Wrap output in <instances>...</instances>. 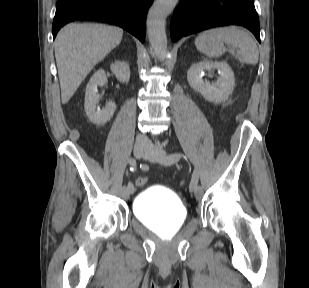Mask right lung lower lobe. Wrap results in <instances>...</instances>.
Here are the masks:
<instances>
[{
    "mask_svg": "<svg viewBox=\"0 0 309 288\" xmlns=\"http://www.w3.org/2000/svg\"><path fill=\"white\" fill-rule=\"evenodd\" d=\"M153 0H57L52 25L53 38L65 24L96 20L118 25L145 40L146 15Z\"/></svg>",
    "mask_w": 309,
    "mask_h": 288,
    "instance_id": "obj_1",
    "label": "right lung lower lobe"
}]
</instances>
